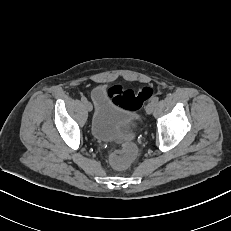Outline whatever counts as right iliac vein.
I'll return each instance as SVG.
<instances>
[{"instance_id": "1", "label": "right iliac vein", "mask_w": 231, "mask_h": 231, "mask_svg": "<svg viewBox=\"0 0 231 231\" xmlns=\"http://www.w3.org/2000/svg\"><path fill=\"white\" fill-rule=\"evenodd\" d=\"M84 105L88 111H92V104L89 101L84 102Z\"/></svg>"}]
</instances>
